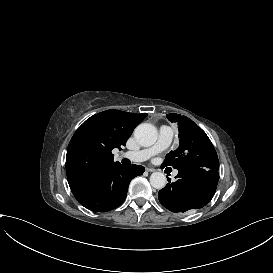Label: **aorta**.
<instances>
[{
    "instance_id": "aorta-1",
    "label": "aorta",
    "mask_w": 273,
    "mask_h": 273,
    "mask_svg": "<svg viewBox=\"0 0 273 273\" xmlns=\"http://www.w3.org/2000/svg\"><path fill=\"white\" fill-rule=\"evenodd\" d=\"M134 137L141 146H151L157 140V129L152 124L142 123L135 128ZM166 182V176L161 172H154L150 176V184L155 189L164 188Z\"/></svg>"
}]
</instances>
